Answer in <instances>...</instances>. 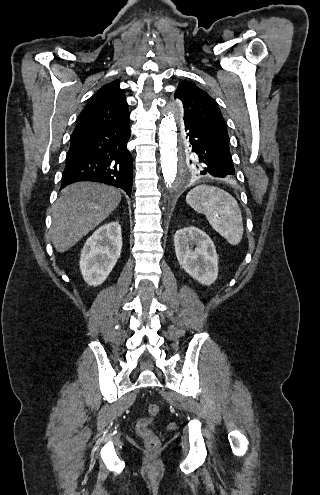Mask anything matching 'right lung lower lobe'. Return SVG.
<instances>
[{
  "mask_svg": "<svg viewBox=\"0 0 320 495\" xmlns=\"http://www.w3.org/2000/svg\"><path fill=\"white\" fill-rule=\"evenodd\" d=\"M129 122L72 137L61 189L78 181H96L123 189L131 196L133 161L127 143Z\"/></svg>",
  "mask_w": 320,
  "mask_h": 495,
  "instance_id": "1",
  "label": "right lung lower lobe"
}]
</instances>
